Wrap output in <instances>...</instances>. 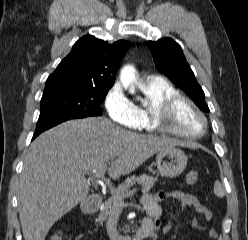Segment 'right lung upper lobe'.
Masks as SVG:
<instances>
[{
  "instance_id": "right-lung-upper-lobe-1",
  "label": "right lung upper lobe",
  "mask_w": 248,
  "mask_h": 240,
  "mask_svg": "<svg viewBox=\"0 0 248 240\" xmlns=\"http://www.w3.org/2000/svg\"><path fill=\"white\" fill-rule=\"evenodd\" d=\"M129 46L130 43L124 40L109 44L91 35L83 36L48 77L44 91L58 88L110 89L117 66Z\"/></svg>"
}]
</instances>
